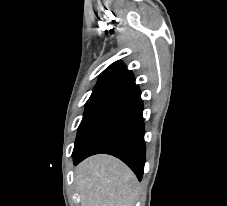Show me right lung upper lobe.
<instances>
[{
	"instance_id": "cb5924a9",
	"label": "right lung upper lobe",
	"mask_w": 227,
	"mask_h": 206,
	"mask_svg": "<svg viewBox=\"0 0 227 206\" xmlns=\"http://www.w3.org/2000/svg\"><path fill=\"white\" fill-rule=\"evenodd\" d=\"M107 82L132 84L135 83V79L132 72L121 61H116L105 69L98 79V84Z\"/></svg>"
}]
</instances>
